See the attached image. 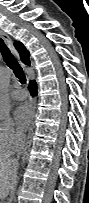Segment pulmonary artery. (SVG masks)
<instances>
[{
    "instance_id": "1",
    "label": "pulmonary artery",
    "mask_w": 89,
    "mask_h": 203,
    "mask_svg": "<svg viewBox=\"0 0 89 203\" xmlns=\"http://www.w3.org/2000/svg\"><path fill=\"white\" fill-rule=\"evenodd\" d=\"M12 97L16 100H24L27 98V92L22 89H15L11 93Z\"/></svg>"
}]
</instances>
